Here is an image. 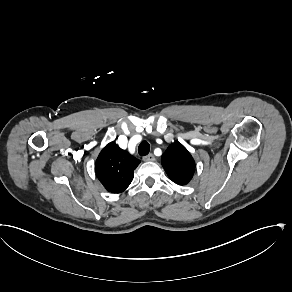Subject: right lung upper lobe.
<instances>
[{
	"label": "right lung upper lobe",
	"instance_id": "obj_1",
	"mask_svg": "<svg viewBox=\"0 0 292 292\" xmlns=\"http://www.w3.org/2000/svg\"><path fill=\"white\" fill-rule=\"evenodd\" d=\"M139 163L140 160L111 142L100 152L95 163V171L107 191L120 193L130 185L133 172Z\"/></svg>",
	"mask_w": 292,
	"mask_h": 292
}]
</instances>
